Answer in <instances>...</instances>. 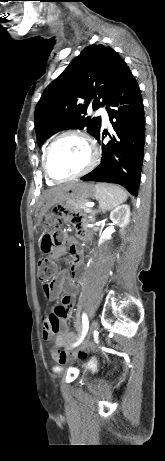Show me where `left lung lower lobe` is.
<instances>
[{
	"label": "left lung lower lobe",
	"mask_w": 165,
	"mask_h": 461,
	"mask_svg": "<svg viewBox=\"0 0 165 461\" xmlns=\"http://www.w3.org/2000/svg\"><path fill=\"white\" fill-rule=\"evenodd\" d=\"M106 106L115 135L106 145L102 144L100 165L81 179L120 184L137 196L144 155L145 118L140 88L129 68ZM104 134L100 132L96 139L100 142Z\"/></svg>",
	"instance_id": "left-lung-lower-lobe-1"
}]
</instances>
